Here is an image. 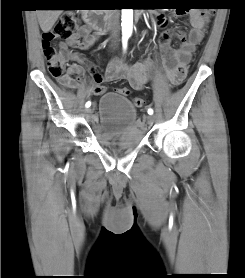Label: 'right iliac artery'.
<instances>
[{"label":"right iliac artery","mask_w":245,"mask_h":278,"mask_svg":"<svg viewBox=\"0 0 245 278\" xmlns=\"http://www.w3.org/2000/svg\"><path fill=\"white\" fill-rule=\"evenodd\" d=\"M122 43H123V49L126 50V48H127V38H123V39H122ZM85 106H86L87 108L90 107V106H91V102L88 101V102L86 103Z\"/></svg>","instance_id":"obj_1"}]
</instances>
